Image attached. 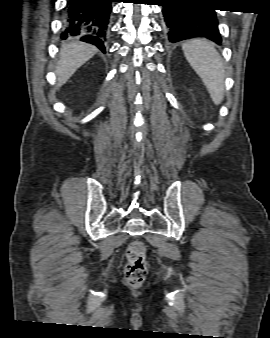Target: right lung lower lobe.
<instances>
[{"mask_svg":"<svg viewBox=\"0 0 270 338\" xmlns=\"http://www.w3.org/2000/svg\"><path fill=\"white\" fill-rule=\"evenodd\" d=\"M112 2L115 0H67L61 39L78 37L105 53Z\"/></svg>","mask_w":270,"mask_h":338,"instance_id":"right-lung-lower-lobe-1","label":"right lung lower lobe"}]
</instances>
